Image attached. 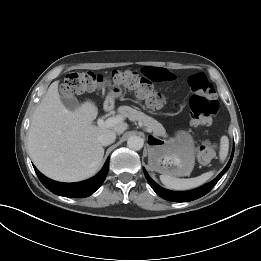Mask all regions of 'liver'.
Here are the masks:
<instances>
[{"label":"liver","instance_id":"obj_1","mask_svg":"<svg viewBox=\"0 0 261 261\" xmlns=\"http://www.w3.org/2000/svg\"><path fill=\"white\" fill-rule=\"evenodd\" d=\"M59 81H54L37 106L28 130V150L35 166L47 177L62 182H77L92 177L99 169L104 149L99 137L128 129L121 122L113 127L93 125L97 106L85 101L75 111L60 100Z\"/></svg>","mask_w":261,"mask_h":261}]
</instances>
